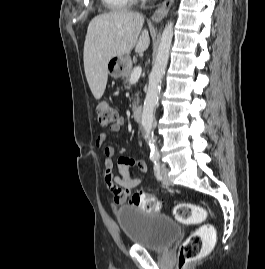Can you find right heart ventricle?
Here are the masks:
<instances>
[{
    "label": "right heart ventricle",
    "instance_id": "e07e8e85",
    "mask_svg": "<svg viewBox=\"0 0 265 269\" xmlns=\"http://www.w3.org/2000/svg\"><path fill=\"white\" fill-rule=\"evenodd\" d=\"M112 11L127 10L133 6L136 0H103Z\"/></svg>",
    "mask_w": 265,
    "mask_h": 269
}]
</instances>
